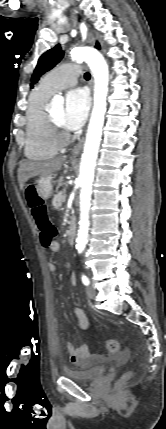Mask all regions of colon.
<instances>
[{"label": "colon", "instance_id": "obj_1", "mask_svg": "<svg viewBox=\"0 0 166 429\" xmlns=\"http://www.w3.org/2000/svg\"><path fill=\"white\" fill-rule=\"evenodd\" d=\"M26 197L32 216L40 232L41 243L43 246L48 247L55 240L56 228L48 217L47 208L43 200L39 197L33 186H28L26 189ZM104 348L111 353H115L119 351L120 344L117 340L110 339L104 342ZM131 376V371L125 372L120 377L119 383H125Z\"/></svg>", "mask_w": 166, "mask_h": 429}]
</instances>
